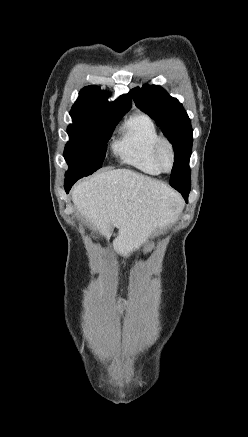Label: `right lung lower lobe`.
<instances>
[{"mask_svg": "<svg viewBox=\"0 0 248 437\" xmlns=\"http://www.w3.org/2000/svg\"><path fill=\"white\" fill-rule=\"evenodd\" d=\"M80 178H81L80 176L66 177L65 184H64L65 191L68 193L72 185Z\"/></svg>", "mask_w": 248, "mask_h": 437, "instance_id": "98d812e1", "label": "right lung lower lobe"}]
</instances>
